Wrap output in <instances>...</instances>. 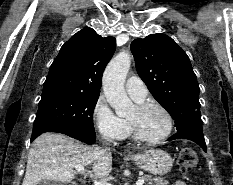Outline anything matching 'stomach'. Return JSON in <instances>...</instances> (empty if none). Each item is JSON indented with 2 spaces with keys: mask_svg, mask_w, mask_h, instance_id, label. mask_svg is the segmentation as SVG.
<instances>
[{
  "mask_svg": "<svg viewBox=\"0 0 233 185\" xmlns=\"http://www.w3.org/2000/svg\"><path fill=\"white\" fill-rule=\"evenodd\" d=\"M129 158L141 169L158 175L168 173L174 161L169 153L161 149H148L141 153H132Z\"/></svg>",
  "mask_w": 233,
  "mask_h": 185,
  "instance_id": "obj_1",
  "label": "stomach"
}]
</instances>
